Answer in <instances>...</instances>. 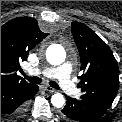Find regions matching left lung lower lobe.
<instances>
[{
  "instance_id": "obj_1",
  "label": "left lung lower lobe",
  "mask_w": 122,
  "mask_h": 122,
  "mask_svg": "<svg viewBox=\"0 0 122 122\" xmlns=\"http://www.w3.org/2000/svg\"><path fill=\"white\" fill-rule=\"evenodd\" d=\"M67 103L62 110V117L67 122H94L105 112L106 108L88 100L74 99L66 96Z\"/></svg>"
}]
</instances>
